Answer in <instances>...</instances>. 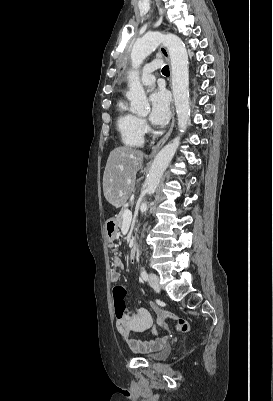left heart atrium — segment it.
Here are the masks:
<instances>
[{
  "label": "left heart atrium",
  "instance_id": "1",
  "mask_svg": "<svg viewBox=\"0 0 273 401\" xmlns=\"http://www.w3.org/2000/svg\"><path fill=\"white\" fill-rule=\"evenodd\" d=\"M170 115V106L167 96L162 92H155L150 96L149 119L156 125L165 124Z\"/></svg>",
  "mask_w": 273,
  "mask_h": 401
}]
</instances>
